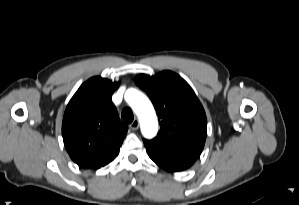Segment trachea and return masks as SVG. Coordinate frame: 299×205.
Listing matches in <instances>:
<instances>
[{
    "label": "trachea",
    "mask_w": 299,
    "mask_h": 205,
    "mask_svg": "<svg viewBox=\"0 0 299 205\" xmlns=\"http://www.w3.org/2000/svg\"><path fill=\"white\" fill-rule=\"evenodd\" d=\"M121 118L125 124H129L133 121L134 115L130 108H124L121 113Z\"/></svg>",
    "instance_id": "trachea-1"
}]
</instances>
